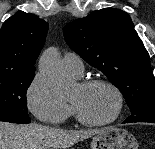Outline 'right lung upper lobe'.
Here are the masks:
<instances>
[{"label": "right lung upper lobe", "mask_w": 155, "mask_h": 149, "mask_svg": "<svg viewBox=\"0 0 155 149\" xmlns=\"http://www.w3.org/2000/svg\"><path fill=\"white\" fill-rule=\"evenodd\" d=\"M47 31L48 23L34 14L8 18L0 30V75L35 72Z\"/></svg>", "instance_id": "right-lung-upper-lobe-1"}]
</instances>
